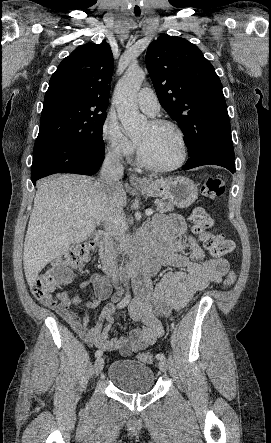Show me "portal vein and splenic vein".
I'll return each instance as SVG.
<instances>
[{"mask_svg": "<svg viewBox=\"0 0 271 443\" xmlns=\"http://www.w3.org/2000/svg\"><path fill=\"white\" fill-rule=\"evenodd\" d=\"M145 214H146V216H152L153 210H146ZM80 222L81 223H86V222H83V220H80Z\"/></svg>", "mask_w": 271, "mask_h": 443, "instance_id": "18ae733b", "label": "portal vein and splenic vein"}]
</instances>
